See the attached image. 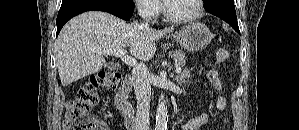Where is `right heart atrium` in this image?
Segmentation results:
<instances>
[{
    "label": "right heart atrium",
    "mask_w": 299,
    "mask_h": 130,
    "mask_svg": "<svg viewBox=\"0 0 299 130\" xmlns=\"http://www.w3.org/2000/svg\"><path fill=\"white\" fill-rule=\"evenodd\" d=\"M136 6L142 17L153 20L158 17L161 12V6L157 0H137Z\"/></svg>",
    "instance_id": "obj_1"
}]
</instances>
